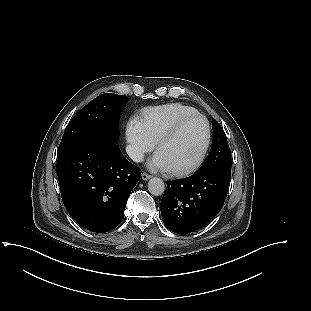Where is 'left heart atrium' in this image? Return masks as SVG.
<instances>
[{"label":"left heart atrium","mask_w":311,"mask_h":311,"mask_svg":"<svg viewBox=\"0 0 311 311\" xmlns=\"http://www.w3.org/2000/svg\"><path fill=\"white\" fill-rule=\"evenodd\" d=\"M148 167L154 171H167L169 167L162 155L157 151L154 156L148 161Z\"/></svg>","instance_id":"39dd6f15"}]
</instances>
